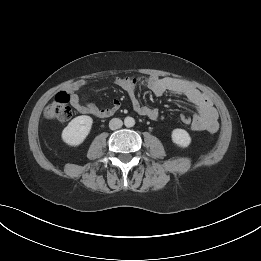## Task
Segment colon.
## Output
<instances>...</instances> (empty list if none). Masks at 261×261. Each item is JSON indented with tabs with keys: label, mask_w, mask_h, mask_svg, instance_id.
<instances>
[{
	"label": "colon",
	"mask_w": 261,
	"mask_h": 261,
	"mask_svg": "<svg viewBox=\"0 0 261 261\" xmlns=\"http://www.w3.org/2000/svg\"><path fill=\"white\" fill-rule=\"evenodd\" d=\"M69 102L70 97L68 93H58L54 100L45 108L44 116L50 120H57L60 122L68 121L72 116ZM181 121L186 125L192 124V118L187 115H182Z\"/></svg>",
	"instance_id": "5ec220e1"
}]
</instances>
